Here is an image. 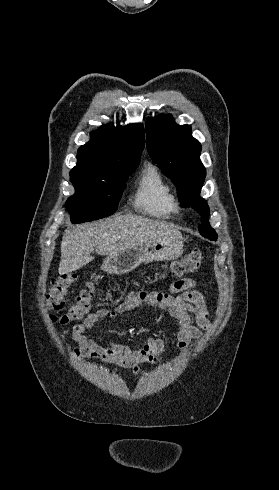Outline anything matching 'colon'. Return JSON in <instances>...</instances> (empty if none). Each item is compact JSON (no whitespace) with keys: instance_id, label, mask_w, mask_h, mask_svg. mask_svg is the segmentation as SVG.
<instances>
[{"instance_id":"5ec220e1","label":"colon","mask_w":279,"mask_h":490,"mask_svg":"<svg viewBox=\"0 0 279 490\" xmlns=\"http://www.w3.org/2000/svg\"><path fill=\"white\" fill-rule=\"evenodd\" d=\"M201 250L189 252L183 259L170 264V275L176 278L192 273L202 261ZM76 281V275L65 272L55 277L47 290L46 306L52 313V320L71 323L83 320L89 313L93 298V283H89L76 296L75 302L64 308L68 288Z\"/></svg>"}]
</instances>
